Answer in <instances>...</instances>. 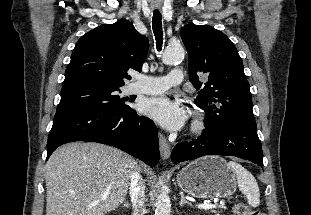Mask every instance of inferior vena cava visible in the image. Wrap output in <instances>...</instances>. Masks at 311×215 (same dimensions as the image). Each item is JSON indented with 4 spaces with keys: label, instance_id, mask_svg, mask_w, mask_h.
Masks as SVG:
<instances>
[{
    "label": "inferior vena cava",
    "instance_id": "inferior-vena-cava-1",
    "mask_svg": "<svg viewBox=\"0 0 311 215\" xmlns=\"http://www.w3.org/2000/svg\"><path fill=\"white\" fill-rule=\"evenodd\" d=\"M129 190L133 209L134 212H136L138 208L143 205L144 190H145L142 177L136 170L131 175Z\"/></svg>",
    "mask_w": 311,
    "mask_h": 215
}]
</instances>
